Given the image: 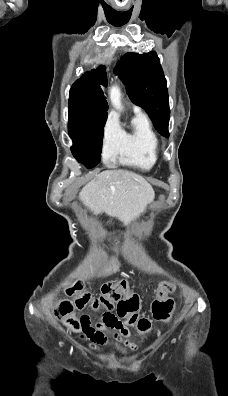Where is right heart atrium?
<instances>
[{"mask_svg":"<svg viewBox=\"0 0 228 396\" xmlns=\"http://www.w3.org/2000/svg\"><path fill=\"white\" fill-rule=\"evenodd\" d=\"M121 139V127L113 116H108L104 127L102 137V154L105 161L113 160L118 151Z\"/></svg>","mask_w":228,"mask_h":396,"instance_id":"obj_1","label":"right heart atrium"}]
</instances>
